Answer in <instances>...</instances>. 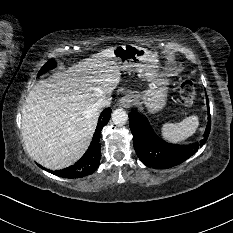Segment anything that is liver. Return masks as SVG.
I'll return each mask as SVG.
<instances>
[{"label": "liver", "mask_w": 233, "mask_h": 233, "mask_svg": "<svg viewBox=\"0 0 233 233\" xmlns=\"http://www.w3.org/2000/svg\"><path fill=\"white\" fill-rule=\"evenodd\" d=\"M113 50L58 71L29 92L22 110V136L26 152L39 164L63 169L87 150L99 117L94 104L111 98L121 81Z\"/></svg>", "instance_id": "1"}]
</instances>
